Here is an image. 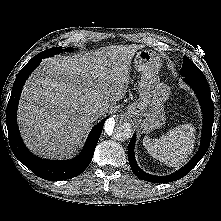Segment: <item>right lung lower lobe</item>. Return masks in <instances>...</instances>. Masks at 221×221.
Returning a JSON list of instances; mask_svg holds the SVG:
<instances>
[{"instance_id": "98d812e1", "label": "right lung lower lobe", "mask_w": 221, "mask_h": 221, "mask_svg": "<svg viewBox=\"0 0 221 221\" xmlns=\"http://www.w3.org/2000/svg\"><path fill=\"white\" fill-rule=\"evenodd\" d=\"M42 58V56H34L15 79L6 111L9 143L16 158L40 178L50 181L70 179L81 174L91 162L106 118L92 129L84 149L72 160L50 161L38 158L30 153L20 136L16 114L22 87L31 72L40 64Z\"/></svg>"}]
</instances>
